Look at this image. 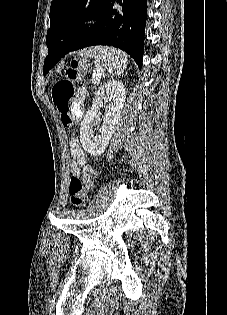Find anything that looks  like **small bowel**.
Masks as SVG:
<instances>
[{
	"mask_svg": "<svg viewBox=\"0 0 227 315\" xmlns=\"http://www.w3.org/2000/svg\"><path fill=\"white\" fill-rule=\"evenodd\" d=\"M78 101L74 102L73 109L78 112L80 116L82 109L80 101L85 97V90L83 88L78 90ZM70 149L72 154V162H71V171L73 175L79 174V169L81 167L84 168L85 173L87 174L88 178L92 173V169L89 166H86V156L83 150L80 147V143L77 139L73 138L70 141Z\"/></svg>",
	"mask_w": 227,
	"mask_h": 315,
	"instance_id": "small-bowel-1",
	"label": "small bowel"
}]
</instances>
